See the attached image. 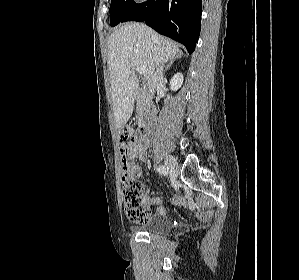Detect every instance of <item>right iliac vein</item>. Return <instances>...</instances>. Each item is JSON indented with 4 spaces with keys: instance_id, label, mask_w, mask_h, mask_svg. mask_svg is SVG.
<instances>
[{
    "instance_id": "obj_1",
    "label": "right iliac vein",
    "mask_w": 299,
    "mask_h": 280,
    "mask_svg": "<svg viewBox=\"0 0 299 280\" xmlns=\"http://www.w3.org/2000/svg\"><path fill=\"white\" fill-rule=\"evenodd\" d=\"M167 167L171 170V172L176 175L178 172V163L172 156H167L165 159Z\"/></svg>"
}]
</instances>
